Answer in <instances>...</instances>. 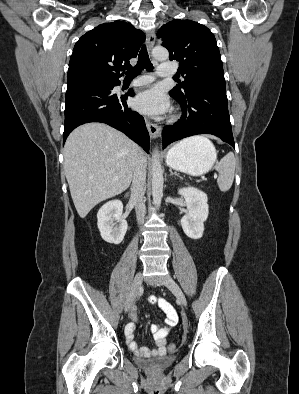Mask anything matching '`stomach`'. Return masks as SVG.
Listing matches in <instances>:
<instances>
[{"instance_id":"0dacf381","label":"stomach","mask_w":299,"mask_h":394,"mask_svg":"<svg viewBox=\"0 0 299 394\" xmlns=\"http://www.w3.org/2000/svg\"><path fill=\"white\" fill-rule=\"evenodd\" d=\"M216 158L217 153L212 144L191 138L172 147L166 155V163L170 168L198 176L208 172Z\"/></svg>"}]
</instances>
